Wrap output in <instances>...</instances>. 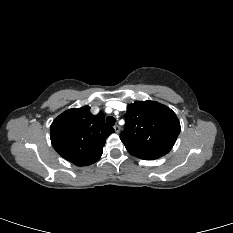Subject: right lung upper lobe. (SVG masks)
<instances>
[{
    "instance_id": "cb5924a9",
    "label": "right lung upper lobe",
    "mask_w": 233,
    "mask_h": 233,
    "mask_svg": "<svg viewBox=\"0 0 233 233\" xmlns=\"http://www.w3.org/2000/svg\"><path fill=\"white\" fill-rule=\"evenodd\" d=\"M104 117L102 112L92 115L89 106L63 112L51 124L50 138L54 149L77 166L97 162L105 140L114 132L105 124Z\"/></svg>"
}]
</instances>
